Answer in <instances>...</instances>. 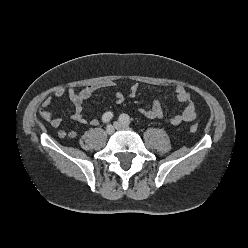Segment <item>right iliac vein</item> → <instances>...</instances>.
<instances>
[{"mask_svg": "<svg viewBox=\"0 0 248 248\" xmlns=\"http://www.w3.org/2000/svg\"><path fill=\"white\" fill-rule=\"evenodd\" d=\"M114 131H115V126L114 125H108L106 127V133L108 135H112L114 133Z\"/></svg>", "mask_w": 248, "mask_h": 248, "instance_id": "63e3f726", "label": "right iliac vein"}]
</instances>
